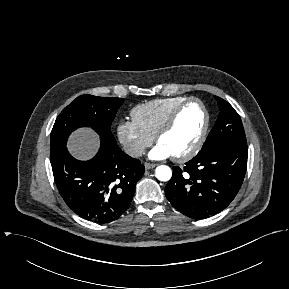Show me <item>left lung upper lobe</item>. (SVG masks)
<instances>
[{
  "label": "left lung upper lobe",
  "instance_id": "left-lung-upper-lobe-1",
  "mask_svg": "<svg viewBox=\"0 0 289 289\" xmlns=\"http://www.w3.org/2000/svg\"><path fill=\"white\" fill-rule=\"evenodd\" d=\"M220 113L218 119L208 135L199 155L206 153L214 146L223 142L247 143L244 128L239 114L225 100L215 96Z\"/></svg>",
  "mask_w": 289,
  "mask_h": 289
}]
</instances>
